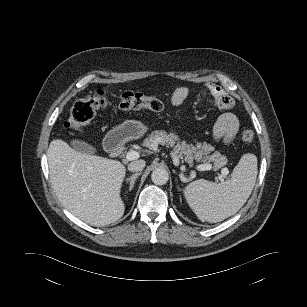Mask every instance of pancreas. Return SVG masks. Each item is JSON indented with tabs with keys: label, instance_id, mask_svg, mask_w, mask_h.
I'll return each instance as SVG.
<instances>
[{
	"label": "pancreas",
	"instance_id": "pancreas-1",
	"mask_svg": "<svg viewBox=\"0 0 307 307\" xmlns=\"http://www.w3.org/2000/svg\"><path fill=\"white\" fill-rule=\"evenodd\" d=\"M158 144L174 147V154L189 165L193 164V160L212 163L214 169H219L227 164V158L219 152H214V147L207 143L196 142V145L187 144L186 141L179 140L175 133H167L166 131L155 130L145 138L143 145L149 149L157 148Z\"/></svg>",
	"mask_w": 307,
	"mask_h": 307
}]
</instances>
